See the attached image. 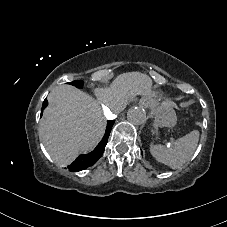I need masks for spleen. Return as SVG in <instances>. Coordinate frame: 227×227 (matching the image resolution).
<instances>
[{
  "mask_svg": "<svg viewBox=\"0 0 227 227\" xmlns=\"http://www.w3.org/2000/svg\"><path fill=\"white\" fill-rule=\"evenodd\" d=\"M199 141V131L193 130L177 139L170 147L163 145H150V153L158 161L172 169H178L194 153Z\"/></svg>",
  "mask_w": 227,
  "mask_h": 227,
  "instance_id": "3e777b00",
  "label": "spleen"
}]
</instances>
